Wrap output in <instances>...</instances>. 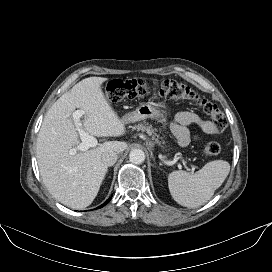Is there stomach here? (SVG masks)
Masks as SVG:
<instances>
[{
	"mask_svg": "<svg viewBox=\"0 0 272 272\" xmlns=\"http://www.w3.org/2000/svg\"><path fill=\"white\" fill-rule=\"evenodd\" d=\"M167 110L164 105L157 103H142L135 111L125 114L121 120L123 123H133L147 118L157 119L160 122H165Z\"/></svg>",
	"mask_w": 272,
	"mask_h": 272,
	"instance_id": "1",
	"label": "stomach"
}]
</instances>
